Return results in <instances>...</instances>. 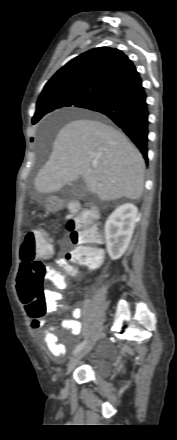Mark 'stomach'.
Returning <instances> with one entry per match:
<instances>
[{
  "label": "stomach",
  "instance_id": "0dacf381",
  "mask_svg": "<svg viewBox=\"0 0 177 440\" xmlns=\"http://www.w3.org/2000/svg\"><path fill=\"white\" fill-rule=\"evenodd\" d=\"M47 202H49V201H47ZM47 206L49 207V206H50V204H49V203H47Z\"/></svg>",
  "mask_w": 177,
  "mask_h": 440
}]
</instances>
